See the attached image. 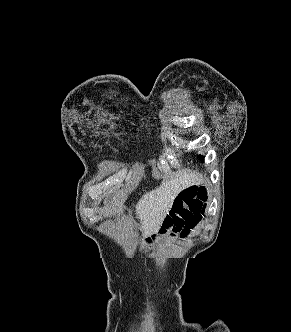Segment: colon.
Returning <instances> with one entry per match:
<instances>
[{
	"label": "colon",
	"instance_id": "1",
	"mask_svg": "<svg viewBox=\"0 0 291 332\" xmlns=\"http://www.w3.org/2000/svg\"><path fill=\"white\" fill-rule=\"evenodd\" d=\"M207 206V194L203 189L182 191L175 199L173 208L164 220L161 233L186 236L202 219Z\"/></svg>",
	"mask_w": 291,
	"mask_h": 332
}]
</instances>
